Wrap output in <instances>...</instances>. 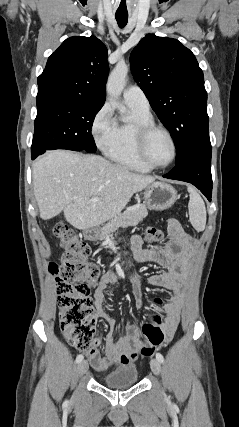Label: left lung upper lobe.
<instances>
[{"label": "left lung upper lobe", "mask_w": 239, "mask_h": 427, "mask_svg": "<svg viewBox=\"0 0 239 427\" xmlns=\"http://www.w3.org/2000/svg\"><path fill=\"white\" fill-rule=\"evenodd\" d=\"M130 62L135 81L172 135L175 164L211 146L207 92L194 54L176 39L148 34L133 49Z\"/></svg>", "instance_id": "left-lung-upper-lobe-1"}]
</instances>
